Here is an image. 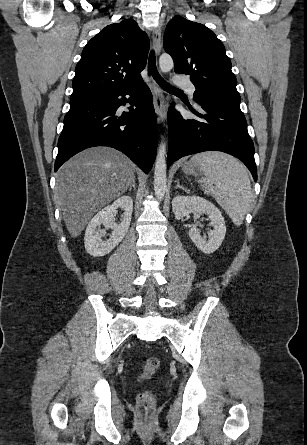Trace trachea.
Wrapping results in <instances>:
<instances>
[{
	"instance_id": "obj_1",
	"label": "trachea",
	"mask_w": 307,
	"mask_h": 445,
	"mask_svg": "<svg viewBox=\"0 0 307 445\" xmlns=\"http://www.w3.org/2000/svg\"><path fill=\"white\" fill-rule=\"evenodd\" d=\"M148 75L153 76V78L157 81V83L164 89V90H179L178 88L172 87L169 83H167L158 73V70L156 68V60H155V52L154 50L151 51L149 56V63H148Z\"/></svg>"
}]
</instances>
